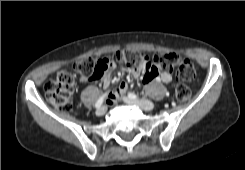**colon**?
<instances>
[{
  "mask_svg": "<svg viewBox=\"0 0 245 170\" xmlns=\"http://www.w3.org/2000/svg\"><path fill=\"white\" fill-rule=\"evenodd\" d=\"M123 63L128 68L145 67L150 69L159 64L174 71L175 77L181 82H187L194 78L195 72L191 63L180 59L176 54L169 53L162 58L155 55H147L142 52L123 51L113 57H107L93 61L86 59L77 65V71L87 80H96L104 75L116 63ZM76 84V77L63 72L47 81L44 85L46 99L59 110H68L71 107V95ZM177 94L184 98L189 94L188 88L181 84L177 88Z\"/></svg>",
  "mask_w": 245,
  "mask_h": 170,
  "instance_id": "obj_1",
  "label": "colon"
}]
</instances>
